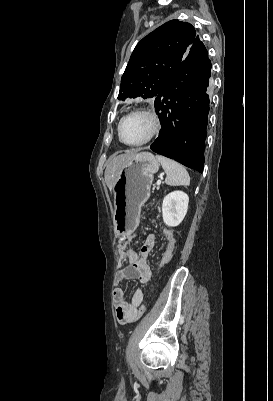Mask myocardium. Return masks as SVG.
Wrapping results in <instances>:
<instances>
[{"instance_id": "obj_1", "label": "myocardium", "mask_w": 273, "mask_h": 401, "mask_svg": "<svg viewBox=\"0 0 273 401\" xmlns=\"http://www.w3.org/2000/svg\"><path fill=\"white\" fill-rule=\"evenodd\" d=\"M132 115H143L148 117L151 122H152V130L149 133V135L144 138L143 140L139 141V142H135V143H128L126 141H124L121 137V126L123 121ZM162 120L161 118L156 114L155 111H153L152 109L148 108V107H140L137 108L135 110L130 111L129 113H127L126 115H124L119 122L117 123V127H116V134H117V138L118 140L125 146L128 147H139L142 145H145L147 143H149L150 141H152L153 139H155L156 137H158V135L161 133L162 131Z\"/></svg>"}]
</instances>
